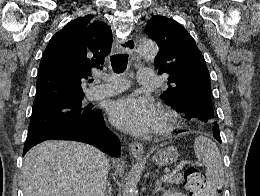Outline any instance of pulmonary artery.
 Instances as JSON below:
<instances>
[{
  "mask_svg": "<svg viewBox=\"0 0 260 196\" xmlns=\"http://www.w3.org/2000/svg\"><path fill=\"white\" fill-rule=\"evenodd\" d=\"M139 73V84H153V77L155 72L153 69H140ZM126 83L125 76H118L115 81H110V85H97L87 89L86 98L90 101L102 99L105 97L112 96L123 90H129V85H123ZM122 86V88H120Z\"/></svg>",
  "mask_w": 260,
  "mask_h": 196,
  "instance_id": "obj_1",
  "label": "pulmonary artery"
}]
</instances>
